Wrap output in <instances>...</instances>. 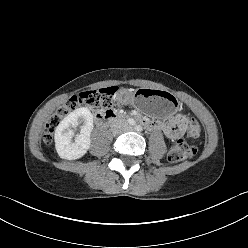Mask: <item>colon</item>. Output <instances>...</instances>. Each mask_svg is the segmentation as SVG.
<instances>
[{"instance_id":"1","label":"colon","mask_w":248,"mask_h":248,"mask_svg":"<svg viewBox=\"0 0 248 248\" xmlns=\"http://www.w3.org/2000/svg\"><path fill=\"white\" fill-rule=\"evenodd\" d=\"M118 90L116 87H108L99 90H89L72 96L63 106H61L47 121L43 133V141L51 144L54 131L60 122L79 105H87L98 112H108L118 105L114 101V94ZM146 122V121H145ZM201 134L199 123L192 119L188 125L187 135L191 138H198ZM196 148L183 139L177 140L168 153V160L177 163L193 157Z\"/></svg>"}]
</instances>
